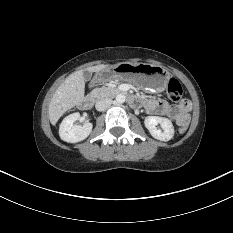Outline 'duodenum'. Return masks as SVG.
Here are the masks:
<instances>
[{"label": "duodenum", "instance_id": "obj_1", "mask_svg": "<svg viewBox=\"0 0 233 233\" xmlns=\"http://www.w3.org/2000/svg\"><path fill=\"white\" fill-rule=\"evenodd\" d=\"M118 93H122L124 94L125 92L122 90H118ZM94 97L92 95H87L85 97L82 98L81 102H80V107L82 109H90L93 104H94ZM129 101L133 104V105H137L139 103V99L135 96L130 95L129 96Z\"/></svg>", "mask_w": 233, "mask_h": 233}]
</instances>
